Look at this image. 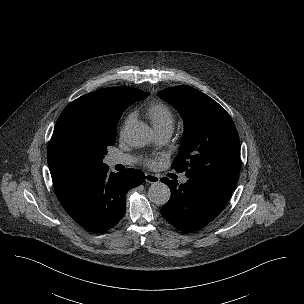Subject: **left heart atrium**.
Masks as SVG:
<instances>
[{
    "label": "left heart atrium",
    "instance_id": "1",
    "mask_svg": "<svg viewBox=\"0 0 304 304\" xmlns=\"http://www.w3.org/2000/svg\"><path fill=\"white\" fill-rule=\"evenodd\" d=\"M146 164L150 165V164H152V161L148 160V161H146Z\"/></svg>",
    "mask_w": 304,
    "mask_h": 304
}]
</instances>
